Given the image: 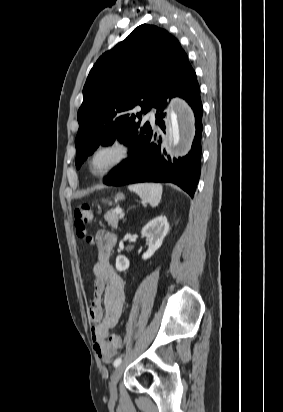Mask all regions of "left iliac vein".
I'll use <instances>...</instances> for the list:
<instances>
[{"mask_svg": "<svg viewBox=\"0 0 283 412\" xmlns=\"http://www.w3.org/2000/svg\"><path fill=\"white\" fill-rule=\"evenodd\" d=\"M124 371V365H119L113 372L110 382H109V390L111 399L115 400L117 398V383L121 378Z\"/></svg>", "mask_w": 283, "mask_h": 412, "instance_id": "4c4485c4", "label": "left iliac vein"}]
</instances>
